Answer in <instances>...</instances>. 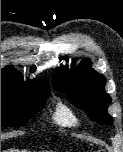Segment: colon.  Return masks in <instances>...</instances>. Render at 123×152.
<instances>
[{"instance_id":"1","label":"colon","mask_w":123,"mask_h":152,"mask_svg":"<svg viewBox=\"0 0 123 152\" xmlns=\"http://www.w3.org/2000/svg\"><path fill=\"white\" fill-rule=\"evenodd\" d=\"M94 152H106L105 150H102V149H99V150H96Z\"/></svg>"}]
</instances>
